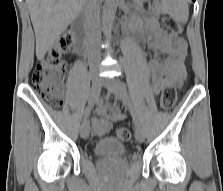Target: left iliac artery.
Masks as SVG:
<instances>
[{
    "mask_svg": "<svg viewBox=\"0 0 223 191\" xmlns=\"http://www.w3.org/2000/svg\"><path fill=\"white\" fill-rule=\"evenodd\" d=\"M129 109H130V113L133 118V122H134L135 126L137 127L138 125H140V121H139V117H138L137 110H136V105L134 103L133 98H132V101L129 103Z\"/></svg>",
    "mask_w": 223,
    "mask_h": 191,
    "instance_id": "44dca946",
    "label": "left iliac artery"
}]
</instances>
